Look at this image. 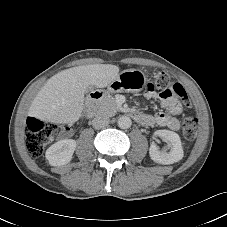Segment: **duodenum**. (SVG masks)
Listing matches in <instances>:
<instances>
[{
    "mask_svg": "<svg viewBox=\"0 0 227 227\" xmlns=\"http://www.w3.org/2000/svg\"><path fill=\"white\" fill-rule=\"evenodd\" d=\"M103 95L102 91H96L89 95L85 102V113L88 117H92L95 114L97 102ZM126 114L140 124L145 120L144 114L138 111H127Z\"/></svg>",
    "mask_w": 227,
    "mask_h": 227,
    "instance_id": "410a0bca",
    "label": "duodenum"
}]
</instances>
